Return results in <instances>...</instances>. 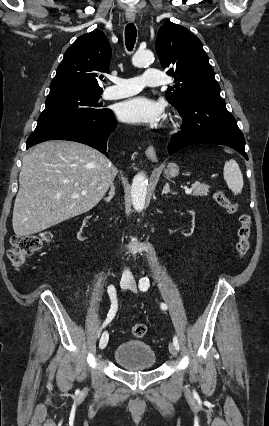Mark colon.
<instances>
[{
    "instance_id": "colon-1",
    "label": "colon",
    "mask_w": 269,
    "mask_h": 426,
    "mask_svg": "<svg viewBox=\"0 0 269 426\" xmlns=\"http://www.w3.org/2000/svg\"><path fill=\"white\" fill-rule=\"evenodd\" d=\"M214 200L224 208L228 213H239L238 205L232 202L223 191H216L213 194ZM239 227L237 230V255L244 257L250 248V236L252 219L246 212L239 213ZM53 238L49 231H43L29 235H15L11 239V247L7 252V257L14 268H21L27 258L39 252ZM132 334L136 337H142L146 334L147 327L143 323H136L131 328Z\"/></svg>"
}]
</instances>
